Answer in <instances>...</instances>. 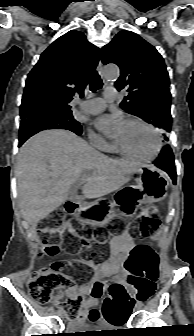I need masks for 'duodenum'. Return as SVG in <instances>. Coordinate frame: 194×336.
<instances>
[{"label":"duodenum","instance_id":"410a0bca","mask_svg":"<svg viewBox=\"0 0 194 336\" xmlns=\"http://www.w3.org/2000/svg\"><path fill=\"white\" fill-rule=\"evenodd\" d=\"M78 207H79V205L76 204V203H74V202H69V203H67V209H68L70 212L75 211Z\"/></svg>","mask_w":194,"mask_h":336}]
</instances>
